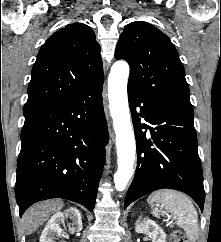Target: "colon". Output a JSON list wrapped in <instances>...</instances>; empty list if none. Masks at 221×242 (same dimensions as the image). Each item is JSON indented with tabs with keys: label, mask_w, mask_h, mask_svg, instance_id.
Listing matches in <instances>:
<instances>
[{
	"label": "colon",
	"mask_w": 221,
	"mask_h": 242,
	"mask_svg": "<svg viewBox=\"0 0 221 242\" xmlns=\"http://www.w3.org/2000/svg\"><path fill=\"white\" fill-rule=\"evenodd\" d=\"M171 242H189L185 233L180 230L176 229L171 234Z\"/></svg>",
	"instance_id": "obj_1"
}]
</instances>
